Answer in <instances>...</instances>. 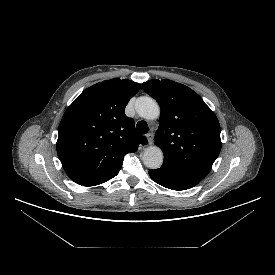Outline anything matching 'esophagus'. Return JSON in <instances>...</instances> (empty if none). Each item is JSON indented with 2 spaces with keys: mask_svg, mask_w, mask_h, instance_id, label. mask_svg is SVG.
Instances as JSON below:
<instances>
[{
  "mask_svg": "<svg viewBox=\"0 0 275 275\" xmlns=\"http://www.w3.org/2000/svg\"><path fill=\"white\" fill-rule=\"evenodd\" d=\"M146 138H147L148 144L151 145L153 143V133H148L146 135Z\"/></svg>",
  "mask_w": 275,
  "mask_h": 275,
  "instance_id": "34e87169",
  "label": "esophagus"
}]
</instances>
